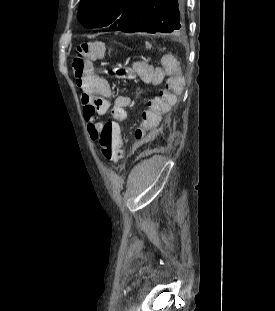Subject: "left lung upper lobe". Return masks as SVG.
Masks as SVG:
<instances>
[{
    "mask_svg": "<svg viewBox=\"0 0 275 311\" xmlns=\"http://www.w3.org/2000/svg\"><path fill=\"white\" fill-rule=\"evenodd\" d=\"M143 0H81L77 18L84 27L121 28Z\"/></svg>",
    "mask_w": 275,
    "mask_h": 311,
    "instance_id": "obj_1",
    "label": "left lung upper lobe"
}]
</instances>
